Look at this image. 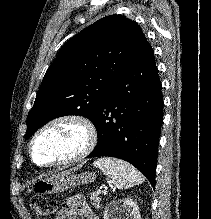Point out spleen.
I'll return each instance as SVG.
<instances>
[{"label":"spleen","instance_id":"3e777b00","mask_svg":"<svg viewBox=\"0 0 211 219\" xmlns=\"http://www.w3.org/2000/svg\"><path fill=\"white\" fill-rule=\"evenodd\" d=\"M93 165L102 170L118 189H128L144 182L143 175L133 166L115 158H100Z\"/></svg>","mask_w":211,"mask_h":219}]
</instances>
